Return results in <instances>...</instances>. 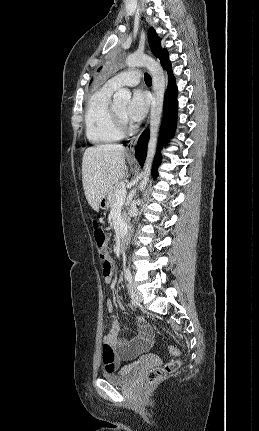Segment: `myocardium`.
<instances>
[{
    "mask_svg": "<svg viewBox=\"0 0 259 431\" xmlns=\"http://www.w3.org/2000/svg\"><path fill=\"white\" fill-rule=\"evenodd\" d=\"M112 115L114 119V124L116 129L121 133H129L133 130V128L128 124L124 117H122L114 107H112Z\"/></svg>",
    "mask_w": 259,
    "mask_h": 431,
    "instance_id": "1",
    "label": "myocardium"
}]
</instances>
